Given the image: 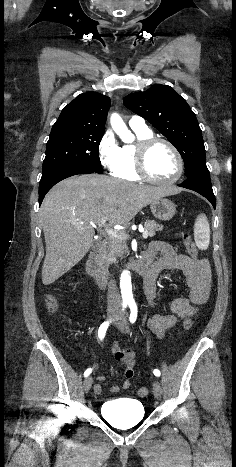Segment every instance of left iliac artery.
<instances>
[{
    "label": "left iliac artery",
    "instance_id": "obj_1",
    "mask_svg": "<svg viewBox=\"0 0 236 467\" xmlns=\"http://www.w3.org/2000/svg\"><path fill=\"white\" fill-rule=\"evenodd\" d=\"M129 307H130V317H129V320L131 323H135L136 319H137V312H138V309H137V305L135 302H130L129 303ZM154 375L159 377L160 376V371L158 369H155L153 371Z\"/></svg>",
    "mask_w": 236,
    "mask_h": 467
}]
</instances>
